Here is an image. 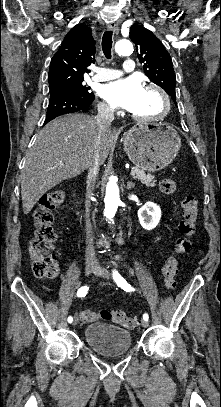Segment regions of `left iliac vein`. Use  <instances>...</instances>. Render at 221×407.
I'll return each mask as SVG.
<instances>
[{
  "label": "left iliac vein",
  "mask_w": 221,
  "mask_h": 407,
  "mask_svg": "<svg viewBox=\"0 0 221 407\" xmlns=\"http://www.w3.org/2000/svg\"><path fill=\"white\" fill-rule=\"evenodd\" d=\"M96 273L99 276H101V277H103L105 279H111V276H110L109 272L106 269H104V268H102L100 266H97ZM141 325H142L143 328H148L149 323H148V321L142 319L141 320Z\"/></svg>",
  "instance_id": "obj_1"
}]
</instances>
